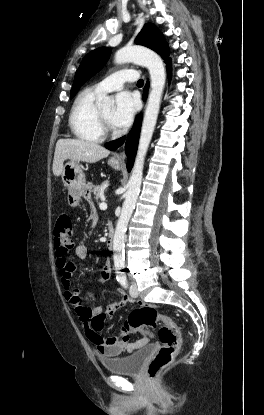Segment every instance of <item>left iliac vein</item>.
<instances>
[{
    "mask_svg": "<svg viewBox=\"0 0 264 415\" xmlns=\"http://www.w3.org/2000/svg\"><path fill=\"white\" fill-rule=\"evenodd\" d=\"M131 297L136 298L138 296V289L135 284H131L129 288Z\"/></svg>",
    "mask_w": 264,
    "mask_h": 415,
    "instance_id": "4c4485c4",
    "label": "left iliac vein"
}]
</instances>
